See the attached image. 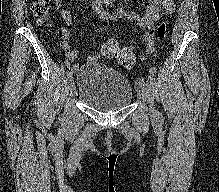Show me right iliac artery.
<instances>
[{
    "instance_id": "1",
    "label": "right iliac artery",
    "mask_w": 219,
    "mask_h": 192,
    "mask_svg": "<svg viewBox=\"0 0 219 192\" xmlns=\"http://www.w3.org/2000/svg\"><path fill=\"white\" fill-rule=\"evenodd\" d=\"M72 77V72L68 73V78Z\"/></svg>"
}]
</instances>
